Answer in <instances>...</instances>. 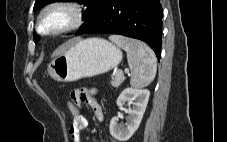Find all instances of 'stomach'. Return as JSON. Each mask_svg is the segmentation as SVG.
<instances>
[{"instance_id": "obj_1", "label": "stomach", "mask_w": 227, "mask_h": 142, "mask_svg": "<svg viewBox=\"0 0 227 142\" xmlns=\"http://www.w3.org/2000/svg\"><path fill=\"white\" fill-rule=\"evenodd\" d=\"M122 60L121 50L101 38L78 40L48 66V74L58 82H74L103 74Z\"/></svg>"}]
</instances>
